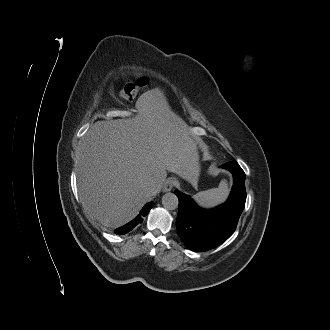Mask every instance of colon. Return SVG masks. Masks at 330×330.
<instances>
[{"label": "colon", "instance_id": "5ec220e1", "mask_svg": "<svg viewBox=\"0 0 330 330\" xmlns=\"http://www.w3.org/2000/svg\"><path fill=\"white\" fill-rule=\"evenodd\" d=\"M146 84L147 79L140 78L135 84L131 85L129 89H125L126 91L123 93V97L126 99L132 98L136 94L137 90Z\"/></svg>", "mask_w": 330, "mask_h": 330}]
</instances>
